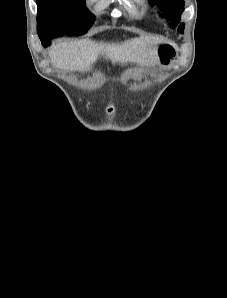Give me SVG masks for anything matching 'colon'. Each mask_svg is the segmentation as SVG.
<instances>
[{"instance_id":"5ec220e1","label":"colon","mask_w":227,"mask_h":298,"mask_svg":"<svg viewBox=\"0 0 227 298\" xmlns=\"http://www.w3.org/2000/svg\"><path fill=\"white\" fill-rule=\"evenodd\" d=\"M174 54V48L169 44H163L159 47V57L164 64L168 63Z\"/></svg>"}]
</instances>
